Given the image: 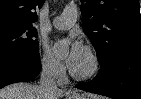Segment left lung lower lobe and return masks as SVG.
Segmentation results:
<instances>
[{
  "mask_svg": "<svg viewBox=\"0 0 141 99\" xmlns=\"http://www.w3.org/2000/svg\"><path fill=\"white\" fill-rule=\"evenodd\" d=\"M76 87L113 99H141V52L114 54L93 80Z\"/></svg>",
  "mask_w": 141,
  "mask_h": 99,
  "instance_id": "0a47b994",
  "label": "left lung lower lobe"
}]
</instances>
